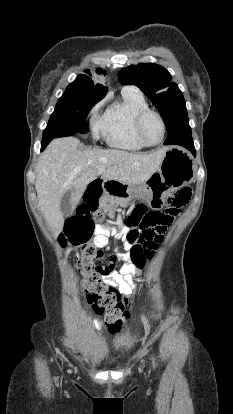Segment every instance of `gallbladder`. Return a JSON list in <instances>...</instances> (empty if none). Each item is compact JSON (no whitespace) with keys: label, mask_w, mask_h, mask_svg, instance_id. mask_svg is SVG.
Segmentation results:
<instances>
[{"label":"gallbladder","mask_w":233,"mask_h":414,"mask_svg":"<svg viewBox=\"0 0 233 414\" xmlns=\"http://www.w3.org/2000/svg\"><path fill=\"white\" fill-rule=\"evenodd\" d=\"M73 204L71 202L70 192L67 193L61 202V212L64 216H67L72 211Z\"/></svg>","instance_id":"gallbladder-1"}]
</instances>
